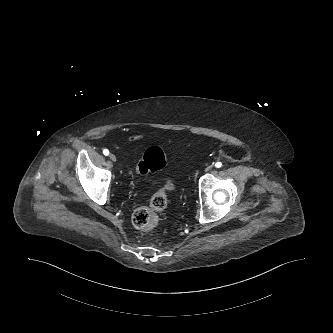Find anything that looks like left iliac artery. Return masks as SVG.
I'll list each match as a JSON object with an SVG mask.
<instances>
[{
  "label": "left iliac artery",
  "instance_id": "44dca946",
  "mask_svg": "<svg viewBox=\"0 0 333 333\" xmlns=\"http://www.w3.org/2000/svg\"><path fill=\"white\" fill-rule=\"evenodd\" d=\"M221 166H222V163H221V162H216V163H215V167H216V168H220Z\"/></svg>",
  "mask_w": 333,
  "mask_h": 333
}]
</instances>
